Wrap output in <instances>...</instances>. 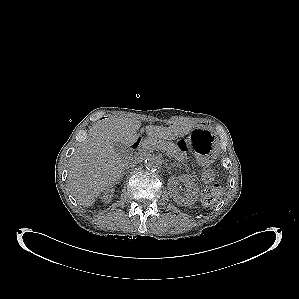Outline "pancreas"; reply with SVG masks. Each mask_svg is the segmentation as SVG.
I'll list each match as a JSON object with an SVG mask.
<instances>
[{
    "mask_svg": "<svg viewBox=\"0 0 299 299\" xmlns=\"http://www.w3.org/2000/svg\"><path fill=\"white\" fill-rule=\"evenodd\" d=\"M143 149L147 151L161 150L163 152H166L169 157H173L176 160H181L182 157L178 147L174 143L162 140H146L143 144Z\"/></svg>",
    "mask_w": 299,
    "mask_h": 299,
    "instance_id": "cf45deb5",
    "label": "pancreas"
}]
</instances>
